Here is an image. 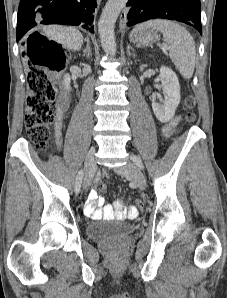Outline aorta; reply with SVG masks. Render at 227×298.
Wrapping results in <instances>:
<instances>
[{"label":"aorta","mask_w":227,"mask_h":298,"mask_svg":"<svg viewBox=\"0 0 227 298\" xmlns=\"http://www.w3.org/2000/svg\"><path fill=\"white\" fill-rule=\"evenodd\" d=\"M127 1L108 0L98 22V33L102 48L110 55L116 54L115 23Z\"/></svg>","instance_id":"obj_1"}]
</instances>
